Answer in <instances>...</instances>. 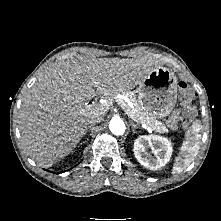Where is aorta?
Masks as SVG:
<instances>
[{
    "instance_id": "762f6f07",
    "label": "aorta",
    "mask_w": 221,
    "mask_h": 221,
    "mask_svg": "<svg viewBox=\"0 0 221 221\" xmlns=\"http://www.w3.org/2000/svg\"><path fill=\"white\" fill-rule=\"evenodd\" d=\"M109 129L114 135L118 136L125 132L126 126L121 118L113 117L109 123Z\"/></svg>"
}]
</instances>
